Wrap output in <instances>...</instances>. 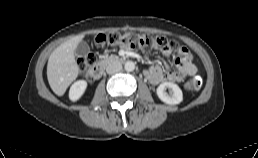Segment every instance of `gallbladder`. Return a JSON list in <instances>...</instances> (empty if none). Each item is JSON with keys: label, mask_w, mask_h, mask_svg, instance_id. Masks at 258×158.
<instances>
[{"label": "gallbladder", "mask_w": 258, "mask_h": 158, "mask_svg": "<svg viewBox=\"0 0 258 158\" xmlns=\"http://www.w3.org/2000/svg\"><path fill=\"white\" fill-rule=\"evenodd\" d=\"M90 49L89 46L86 42L81 41L75 50V55L78 57H87L88 53H89Z\"/></svg>", "instance_id": "1"}]
</instances>
